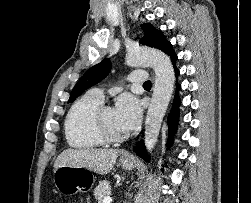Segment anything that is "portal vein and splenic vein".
Segmentation results:
<instances>
[{
	"label": "portal vein and splenic vein",
	"instance_id": "1",
	"mask_svg": "<svg viewBox=\"0 0 251 203\" xmlns=\"http://www.w3.org/2000/svg\"><path fill=\"white\" fill-rule=\"evenodd\" d=\"M111 202H112V198L110 196H106L102 200V203H111Z\"/></svg>",
	"mask_w": 251,
	"mask_h": 203
}]
</instances>
